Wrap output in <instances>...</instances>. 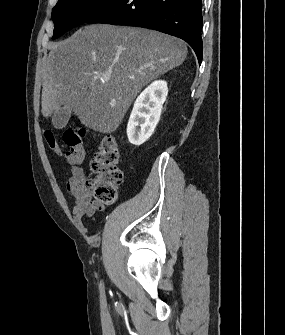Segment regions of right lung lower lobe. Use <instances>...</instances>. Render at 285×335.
Listing matches in <instances>:
<instances>
[{"label": "right lung lower lobe", "instance_id": "obj_1", "mask_svg": "<svg viewBox=\"0 0 285 335\" xmlns=\"http://www.w3.org/2000/svg\"><path fill=\"white\" fill-rule=\"evenodd\" d=\"M202 0H118L86 23H109L151 28L186 41L199 64L202 49Z\"/></svg>", "mask_w": 285, "mask_h": 335}]
</instances>
